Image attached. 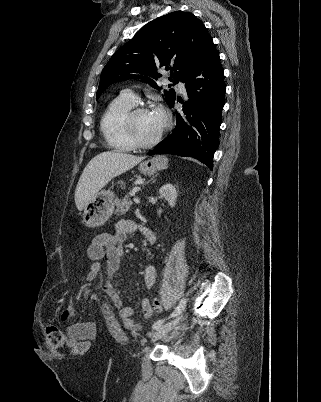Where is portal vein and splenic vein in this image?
I'll return each instance as SVG.
<instances>
[{"instance_id":"18ae733b","label":"portal vein and splenic vein","mask_w":321,"mask_h":402,"mask_svg":"<svg viewBox=\"0 0 321 402\" xmlns=\"http://www.w3.org/2000/svg\"><path fill=\"white\" fill-rule=\"evenodd\" d=\"M133 201H134L135 203H140V199H139L138 197H134V198H133Z\"/></svg>"}]
</instances>
